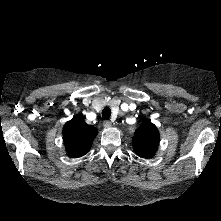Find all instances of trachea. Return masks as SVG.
I'll list each match as a JSON object with an SVG mask.
<instances>
[{
  "instance_id": "1",
  "label": "trachea",
  "mask_w": 221,
  "mask_h": 221,
  "mask_svg": "<svg viewBox=\"0 0 221 221\" xmlns=\"http://www.w3.org/2000/svg\"><path fill=\"white\" fill-rule=\"evenodd\" d=\"M111 116V109L109 107H105L102 111V117L104 119H109Z\"/></svg>"
}]
</instances>
